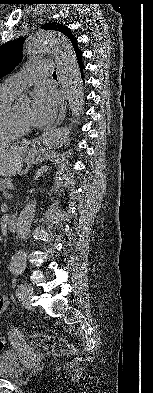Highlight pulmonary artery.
<instances>
[{"instance_id":"pulmonary-artery-1","label":"pulmonary artery","mask_w":153,"mask_h":393,"mask_svg":"<svg viewBox=\"0 0 153 393\" xmlns=\"http://www.w3.org/2000/svg\"><path fill=\"white\" fill-rule=\"evenodd\" d=\"M53 67L54 63L49 60H41L32 63L20 74H16L7 78L3 86L16 93H20L29 84L39 79L41 75L51 73Z\"/></svg>"}]
</instances>
